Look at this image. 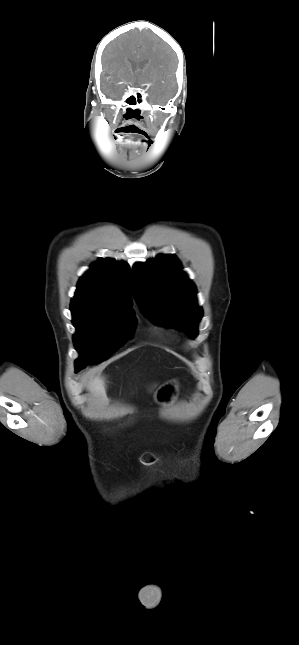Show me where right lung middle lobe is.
Returning <instances> with one entry per match:
<instances>
[{
    "instance_id": "dd1d6c3e",
    "label": "right lung middle lobe",
    "mask_w": 299,
    "mask_h": 645,
    "mask_svg": "<svg viewBox=\"0 0 299 645\" xmlns=\"http://www.w3.org/2000/svg\"><path fill=\"white\" fill-rule=\"evenodd\" d=\"M71 311L76 328L73 341L80 353L75 361L76 371L117 351L132 336L136 324L128 310L71 308Z\"/></svg>"
}]
</instances>
